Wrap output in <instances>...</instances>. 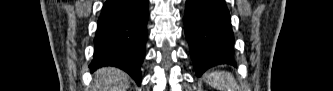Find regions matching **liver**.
<instances>
[{
    "label": "liver",
    "mask_w": 333,
    "mask_h": 91,
    "mask_svg": "<svg viewBox=\"0 0 333 91\" xmlns=\"http://www.w3.org/2000/svg\"><path fill=\"white\" fill-rule=\"evenodd\" d=\"M129 76L113 67H104L96 71L92 91H127Z\"/></svg>",
    "instance_id": "obj_1"
}]
</instances>
